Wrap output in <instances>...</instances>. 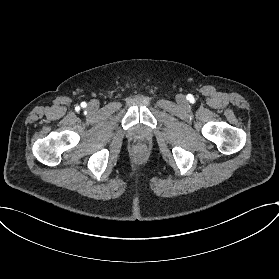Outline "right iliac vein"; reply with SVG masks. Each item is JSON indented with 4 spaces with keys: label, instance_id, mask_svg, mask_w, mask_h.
<instances>
[{
    "label": "right iliac vein",
    "instance_id": "right-iliac-vein-1",
    "mask_svg": "<svg viewBox=\"0 0 279 279\" xmlns=\"http://www.w3.org/2000/svg\"><path fill=\"white\" fill-rule=\"evenodd\" d=\"M97 108H98V104H97L96 101H91V102H89L88 105H87V109H88V111H90V112L96 111Z\"/></svg>",
    "mask_w": 279,
    "mask_h": 279
}]
</instances>
